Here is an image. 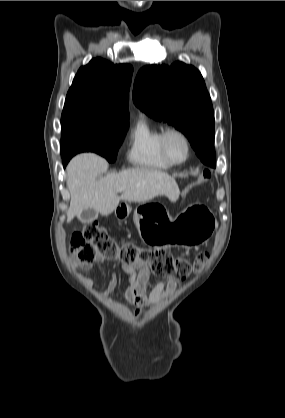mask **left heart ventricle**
Wrapping results in <instances>:
<instances>
[{"label":"left heart ventricle","mask_w":285,"mask_h":418,"mask_svg":"<svg viewBox=\"0 0 285 418\" xmlns=\"http://www.w3.org/2000/svg\"><path fill=\"white\" fill-rule=\"evenodd\" d=\"M166 147L170 157L179 161L185 156V144L183 140L176 134H171L166 140Z\"/></svg>","instance_id":"left-heart-ventricle-1"}]
</instances>
